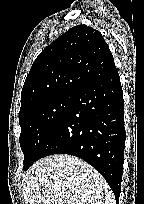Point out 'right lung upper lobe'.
<instances>
[{
  "instance_id": "right-lung-upper-lobe-1",
  "label": "right lung upper lobe",
  "mask_w": 144,
  "mask_h": 204,
  "mask_svg": "<svg viewBox=\"0 0 144 204\" xmlns=\"http://www.w3.org/2000/svg\"><path fill=\"white\" fill-rule=\"evenodd\" d=\"M114 70L113 56L100 32L75 26L34 61L22 89L19 113L57 94L76 95Z\"/></svg>"
}]
</instances>
